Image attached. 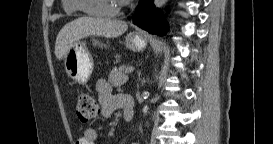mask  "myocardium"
Returning a JSON list of instances; mask_svg holds the SVG:
<instances>
[{
  "label": "myocardium",
  "instance_id": "myocardium-1",
  "mask_svg": "<svg viewBox=\"0 0 273 144\" xmlns=\"http://www.w3.org/2000/svg\"><path fill=\"white\" fill-rule=\"evenodd\" d=\"M77 9L87 15L94 16H112L120 11V7L117 6L112 10H97L88 6V0H74Z\"/></svg>",
  "mask_w": 273,
  "mask_h": 144
}]
</instances>
